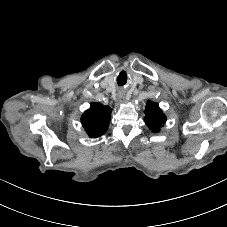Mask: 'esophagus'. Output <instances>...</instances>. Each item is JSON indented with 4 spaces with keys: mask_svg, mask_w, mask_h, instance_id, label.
<instances>
[{
    "mask_svg": "<svg viewBox=\"0 0 227 227\" xmlns=\"http://www.w3.org/2000/svg\"><path fill=\"white\" fill-rule=\"evenodd\" d=\"M119 97H120V100H119V101H120V102H124V100H122L123 97H121V96H119Z\"/></svg>",
    "mask_w": 227,
    "mask_h": 227,
    "instance_id": "34e87169",
    "label": "esophagus"
}]
</instances>
